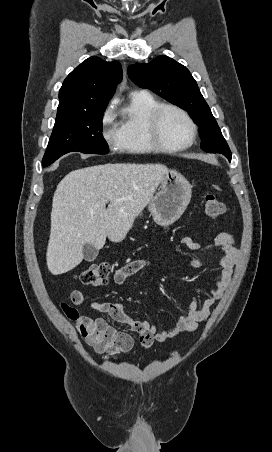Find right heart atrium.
I'll use <instances>...</instances> for the list:
<instances>
[{"instance_id": "obj_1", "label": "right heart atrium", "mask_w": 272, "mask_h": 452, "mask_svg": "<svg viewBox=\"0 0 272 452\" xmlns=\"http://www.w3.org/2000/svg\"><path fill=\"white\" fill-rule=\"evenodd\" d=\"M115 114L114 108L109 104L103 111L100 119V132L108 146L117 150L120 149L121 137L118 129L114 128Z\"/></svg>"}]
</instances>
